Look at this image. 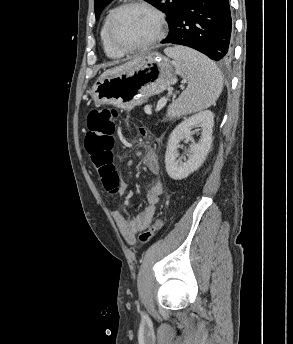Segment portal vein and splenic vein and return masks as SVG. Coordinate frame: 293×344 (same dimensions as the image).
<instances>
[{"instance_id": "obj_1", "label": "portal vein and splenic vein", "mask_w": 293, "mask_h": 344, "mask_svg": "<svg viewBox=\"0 0 293 344\" xmlns=\"http://www.w3.org/2000/svg\"><path fill=\"white\" fill-rule=\"evenodd\" d=\"M166 102H167V98L161 97L157 104L156 111H159L160 109H162L165 106Z\"/></svg>"}]
</instances>
